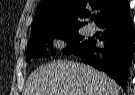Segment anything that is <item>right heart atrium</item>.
<instances>
[{
    "instance_id": "1",
    "label": "right heart atrium",
    "mask_w": 135,
    "mask_h": 95,
    "mask_svg": "<svg viewBox=\"0 0 135 95\" xmlns=\"http://www.w3.org/2000/svg\"><path fill=\"white\" fill-rule=\"evenodd\" d=\"M54 45H55L57 48H62V47L65 46V41H64L62 38L57 37V38H55V40H54Z\"/></svg>"
}]
</instances>
